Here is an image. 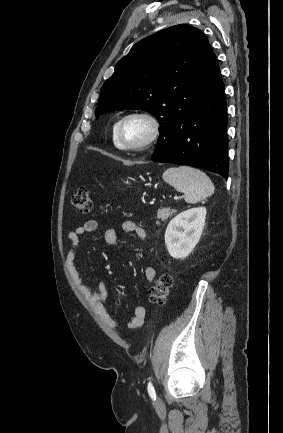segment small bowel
<instances>
[{"mask_svg":"<svg viewBox=\"0 0 283 433\" xmlns=\"http://www.w3.org/2000/svg\"><path fill=\"white\" fill-rule=\"evenodd\" d=\"M100 228V224L97 221L89 220L85 222L82 226H79L75 230L68 233L67 240L70 243L71 249L67 254L66 266L76 288L85 297L90 306L93 308L94 312L109 327L117 329V322L111 317L104 305V300L107 298L108 295L107 284L105 282H100L97 286L96 291H92V289L82 279L75 264L76 251L79 247L81 238L86 236L90 232L99 230ZM122 230L125 233L135 232L136 236L140 240H145L147 237L145 229L138 226L135 222L131 220L125 221L122 224ZM104 240L105 243L108 245H116L118 242L117 232L114 229H106L104 231ZM144 275L147 281L152 282L156 277L155 268L151 266L146 267ZM145 315V307L142 305L136 306L132 318L126 324V329L128 331L138 330L144 322Z\"/></svg>","mask_w":283,"mask_h":433,"instance_id":"c3829d8e","label":"small bowel"}]
</instances>
